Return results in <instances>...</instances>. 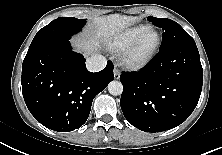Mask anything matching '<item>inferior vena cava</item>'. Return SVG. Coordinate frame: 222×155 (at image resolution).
<instances>
[{
    "instance_id": "inferior-vena-cava-1",
    "label": "inferior vena cava",
    "mask_w": 222,
    "mask_h": 155,
    "mask_svg": "<svg viewBox=\"0 0 222 155\" xmlns=\"http://www.w3.org/2000/svg\"><path fill=\"white\" fill-rule=\"evenodd\" d=\"M107 64V60L102 55H92L87 61H86V67L88 71L90 72H98L105 68Z\"/></svg>"
}]
</instances>
